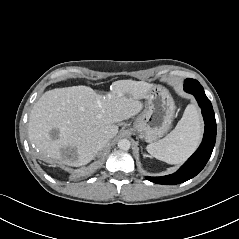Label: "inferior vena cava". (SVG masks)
<instances>
[{
  "mask_svg": "<svg viewBox=\"0 0 239 239\" xmlns=\"http://www.w3.org/2000/svg\"><path fill=\"white\" fill-rule=\"evenodd\" d=\"M108 141L109 140L107 138H102L101 140H99L98 145H97V149L98 150L103 149L107 145Z\"/></svg>",
  "mask_w": 239,
  "mask_h": 239,
  "instance_id": "inferior-vena-cava-1",
  "label": "inferior vena cava"
}]
</instances>
